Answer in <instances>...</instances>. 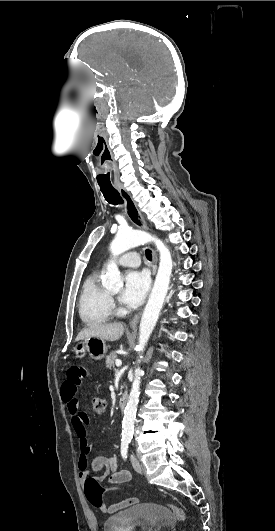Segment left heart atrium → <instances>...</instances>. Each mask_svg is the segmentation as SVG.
<instances>
[{
  "instance_id": "1",
  "label": "left heart atrium",
  "mask_w": 275,
  "mask_h": 531,
  "mask_svg": "<svg viewBox=\"0 0 275 531\" xmlns=\"http://www.w3.org/2000/svg\"><path fill=\"white\" fill-rule=\"evenodd\" d=\"M150 286V277L146 270L140 268L130 269L125 273L124 288L121 301L130 306H139Z\"/></svg>"
}]
</instances>
